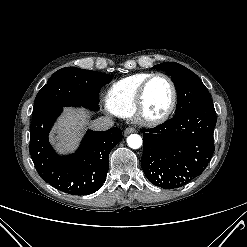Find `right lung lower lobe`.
<instances>
[{"instance_id": "1", "label": "right lung lower lobe", "mask_w": 247, "mask_h": 247, "mask_svg": "<svg viewBox=\"0 0 247 247\" xmlns=\"http://www.w3.org/2000/svg\"><path fill=\"white\" fill-rule=\"evenodd\" d=\"M63 107L57 106L32 115L30 154L40 176L56 189L72 195L97 191L106 179L109 153L121 141V129L88 130L78 150L59 156L49 143V132Z\"/></svg>"}]
</instances>
